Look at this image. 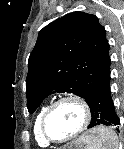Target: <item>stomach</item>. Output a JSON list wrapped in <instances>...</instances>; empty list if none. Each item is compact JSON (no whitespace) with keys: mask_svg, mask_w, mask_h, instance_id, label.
Wrapping results in <instances>:
<instances>
[{"mask_svg":"<svg viewBox=\"0 0 124 149\" xmlns=\"http://www.w3.org/2000/svg\"><path fill=\"white\" fill-rule=\"evenodd\" d=\"M97 130V128L90 130L85 135H83L78 141H76L74 144L69 145L65 149H83V145L86 144L85 139L94 136Z\"/></svg>","mask_w":124,"mask_h":149,"instance_id":"obj_1","label":"stomach"}]
</instances>
